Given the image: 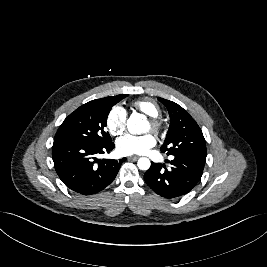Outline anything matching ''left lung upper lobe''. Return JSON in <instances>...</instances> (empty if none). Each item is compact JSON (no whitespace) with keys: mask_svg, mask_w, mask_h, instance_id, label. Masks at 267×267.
<instances>
[{"mask_svg":"<svg viewBox=\"0 0 267 267\" xmlns=\"http://www.w3.org/2000/svg\"><path fill=\"white\" fill-rule=\"evenodd\" d=\"M165 105L170 115V126L161 151L167 155L186 156L206 161V142L203 133L180 105L158 98Z\"/></svg>","mask_w":267,"mask_h":267,"instance_id":"left-lung-upper-lobe-1","label":"left lung upper lobe"}]
</instances>
